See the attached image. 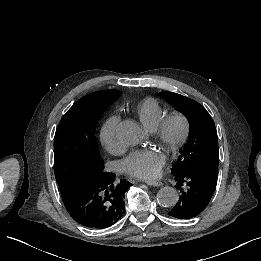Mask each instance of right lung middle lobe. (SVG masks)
Segmentation results:
<instances>
[{
	"label": "right lung middle lobe",
	"instance_id": "1",
	"mask_svg": "<svg viewBox=\"0 0 261 261\" xmlns=\"http://www.w3.org/2000/svg\"><path fill=\"white\" fill-rule=\"evenodd\" d=\"M116 97L78 100L62 117L54 137L55 177L60 191L76 176L95 178L104 171L95 137L97 122Z\"/></svg>",
	"mask_w": 261,
	"mask_h": 261
}]
</instances>
